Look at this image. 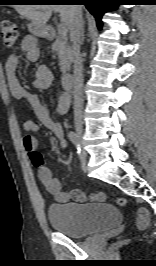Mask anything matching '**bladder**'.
Wrapping results in <instances>:
<instances>
[{
    "mask_svg": "<svg viewBox=\"0 0 156 266\" xmlns=\"http://www.w3.org/2000/svg\"><path fill=\"white\" fill-rule=\"evenodd\" d=\"M47 217L55 230L74 238L104 231L121 222L118 209L107 203L52 204L48 207Z\"/></svg>",
    "mask_w": 156,
    "mask_h": 266,
    "instance_id": "1",
    "label": "bladder"
}]
</instances>
